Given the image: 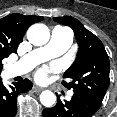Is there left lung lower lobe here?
I'll return each instance as SVG.
<instances>
[{"label":"left lung lower lobe","instance_id":"1","mask_svg":"<svg viewBox=\"0 0 117 117\" xmlns=\"http://www.w3.org/2000/svg\"><path fill=\"white\" fill-rule=\"evenodd\" d=\"M99 108L88 98L74 93L71 100L64 103L58 97L54 107L43 110V117H91Z\"/></svg>","mask_w":117,"mask_h":117}]
</instances>
